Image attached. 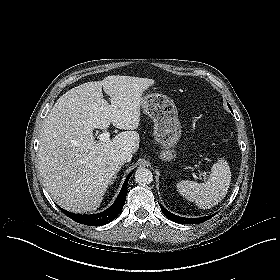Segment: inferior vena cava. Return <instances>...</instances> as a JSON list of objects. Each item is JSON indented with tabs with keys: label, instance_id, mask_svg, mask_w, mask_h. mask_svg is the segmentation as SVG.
<instances>
[{
	"label": "inferior vena cava",
	"instance_id": "602c4592",
	"mask_svg": "<svg viewBox=\"0 0 280 280\" xmlns=\"http://www.w3.org/2000/svg\"><path fill=\"white\" fill-rule=\"evenodd\" d=\"M120 162H130L132 159V153L130 151H123L119 156Z\"/></svg>",
	"mask_w": 280,
	"mask_h": 280
}]
</instances>
